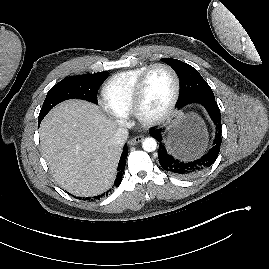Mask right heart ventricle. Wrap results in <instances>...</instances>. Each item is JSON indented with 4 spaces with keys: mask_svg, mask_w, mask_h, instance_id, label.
Wrapping results in <instances>:
<instances>
[{
    "mask_svg": "<svg viewBox=\"0 0 269 269\" xmlns=\"http://www.w3.org/2000/svg\"><path fill=\"white\" fill-rule=\"evenodd\" d=\"M148 66H140L113 75L103 86L102 97L107 108L114 114L128 116L132 113L135 86Z\"/></svg>",
    "mask_w": 269,
    "mask_h": 269,
    "instance_id": "obj_1",
    "label": "right heart ventricle"
}]
</instances>
